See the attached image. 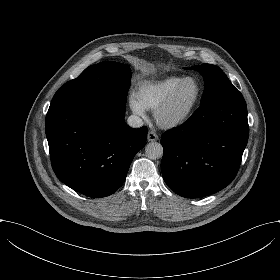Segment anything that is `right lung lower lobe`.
I'll return each mask as SVG.
<instances>
[{"mask_svg":"<svg viewBox=\"0 0 280 280\" xmlns=\"http://www.w3.org/2000/svg\"><path fill=\"white\" fill-rule=\"evenodd\" d=\"M125 106L103 97L58 90L46 115L52 168L75 191L100 198L125 181L136 153L145 146L147 128H130Z\"/></svg>","mask_w":280,"mask_h":280,"instance_id":"right-lung-lower-lobe-1","label":"right lung lower lobe"}]
</instances>
